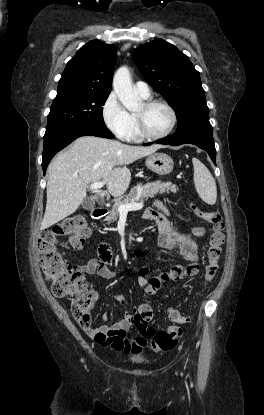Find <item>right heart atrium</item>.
<instances>
[{
  "label": "right heart atrium",
  "instance_id": "d8ad5b80",
  "mask_svg": "<svg viewBox=\"0 0 264 415\" xmlns=\"http://www.w3.org/2000/svg\"><path fill=\"white\" fill-rule=\"evenodd\" d=\"M102 117L107 127L119 138H125L131 126L128 111L120 103L117 95L111 92L102 105Z\"/></svg>",
  "mask_w": 264,
  "mask_h": 415
}]
</instances>
